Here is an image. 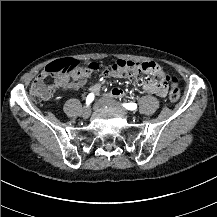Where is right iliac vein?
I'll list each match as a JSON object with an SVG mask.
<instances>
[{"label": "right iliac vein", "mask_w": 217, "mask_h": 217, "mask_svg": "<svg viewBox=\"0 0 217 217\" xmlns=\"http://www.w3.org/2000/svg\"><path fill=\"white\" fill-rule=\"evenodd\" d=\"M91 114V108L89 106L85 107L82 111L83 117H88Z\"/></svg>", "instance_id": "63e3f726"}]
</instances>
